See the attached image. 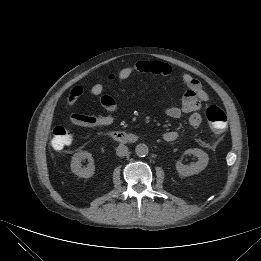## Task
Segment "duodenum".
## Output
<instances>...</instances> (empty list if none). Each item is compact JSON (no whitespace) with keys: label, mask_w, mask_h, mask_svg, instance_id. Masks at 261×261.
Returning a JSON list of instances; mask_svg holds the SVG:
<instances>
[{"label":"duodenum","mask_w":261,"mask_h":261,"mask_svg":"<svg viewBox=\"0 0 261 261\" xmlns=\"http://www.w3.org/2000/svg\"><path fill=\"white\" fill-rule=\"evenodd\" d=\"M111 137L121 143H133L137 140L136 135L122 130L112 131Z\"/></svg>","instance_id":"obj_1"}]
</instances>
